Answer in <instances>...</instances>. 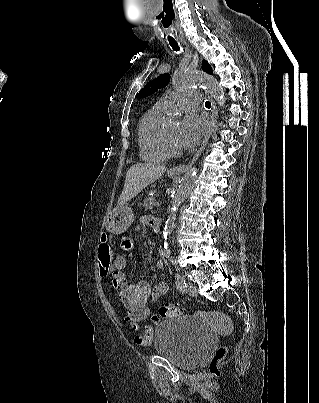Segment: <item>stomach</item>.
Listing matches in <instances>:
<instances>
[{
	"label": "stomach",
	"mask_w": 319,
	"mask_h": 403,
	"mask_svg": "<svg viewBox=\"0 0 319 403\" xmlns=\"http://www.w3.org/2000/svg\"><path fill=\"white\" fill-rule=\"evenodd\" d=\"M134 214L126 206L114 208L106 218V229L112 234H121L126 231L133 222Z\"/></svg>",
	"instance_id": "stomach-1"
}]
</instances>
